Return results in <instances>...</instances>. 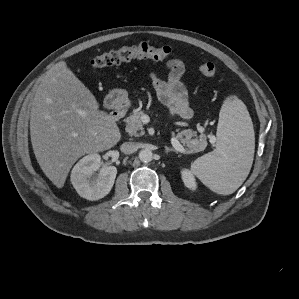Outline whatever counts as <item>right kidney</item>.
I'll return each mask as SVG.
<instances>
[{"instance_id":"obj_1","label":"right kidney","mask_w":299,"mask_h":299,"mask_svg":"<svg viewBox=\"0 0 299 299\" xmlns=\"http://www.w3.org/2000/svg\"><path fill=\"white\" fill-rule=\"evenodd\" d=\"M100 167V155L92 153L80 159L72 169L71 183L81 197L92 201L99 200L112 189L117 168L108 166L97 173Z\"/></svg>"}]
</instances>
